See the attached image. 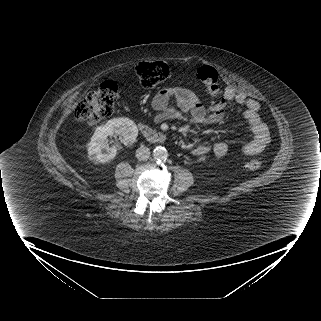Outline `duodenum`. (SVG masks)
I'll return each mask as SVG.
<instances>
[{"instance_id":"410a0bca","label":"duodenum","mask_w":321,"mask_h":321,"mask_svg":"<svg viewBox=\"0 0 321 321\" xmlns=\"http://www.w3.org/2000/svg\"><path fill=\"white\" fill-rule=\"evenodd\" d=\"M139 129L142 132V134L144 135V137L153 143H163L166 141V136L164 133L144 124V123H140L139 125Z\"/></svg>"}]
</instances>
